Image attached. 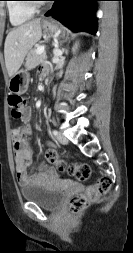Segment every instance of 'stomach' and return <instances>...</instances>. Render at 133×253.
<instances>
[{"label": "stomach", "instance_id": "0dacf381", "mask_svg": "<svg viewBox=\"0 0 133 253\" xmlns=\"http://www.w3.org/2000/svg\"><path fill=\"white\" fill-rule=\"evenodd\" d=\"M42 27L46 33H55L58 31V26L49 21H43ZM28 83H29V73L27 70H20L17 71L9 81L8 88L10 92L15 94H23L28 89Z\"/></svg>", "mask_w": 133, "mask_h": 253}]
</instances>
